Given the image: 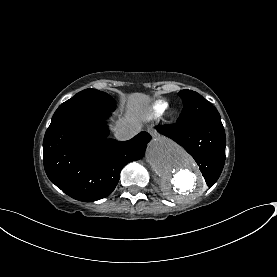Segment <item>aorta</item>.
<instances>
[{
	"label": "aorta",
	"mask_w": 277,
	"mask_h": 277,
	"mask_svg": "<svg viewBox=\"0 0 277 277\" xmlns=\"http://www.w3.org/2000/svg\"><path fill=\"white\" fill-rule=\"evenodd\" d=\"M147 161L159 176L164 195L177 203L201 196L206 188L204 178L192 157L165 137L149 144Z\"/></svg>",
	"instance_id": "aorta-1"
}]
</instances>
